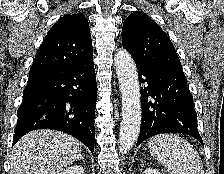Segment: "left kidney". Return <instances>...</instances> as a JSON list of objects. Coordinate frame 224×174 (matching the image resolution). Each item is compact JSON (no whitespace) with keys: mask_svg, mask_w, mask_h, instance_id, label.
<instances>
[{"mask_svg":"<svg viewBox=\"0 0 224 174\" xmlns=\"http://www.w3.org/2000/svg\"><path fill=\"white\" fill-rule=\"evenodd\" d=\"M143 174H161L157 169L147 168Z\"/></svg>","mask_w":224,"mask_h":174,"instance_id":"5707ae66","label":"left kidney"}]
</instances>
